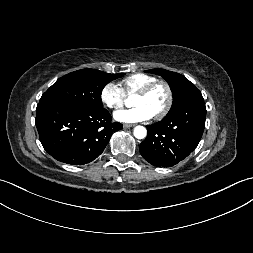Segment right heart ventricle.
<instances>
[{
	"label": "right heart ventricle",
	"instance_id": "right-heart-ventricle-1",
	"mask_svg": "<svg viewBox=\"0 0 253 253\" xmlns=\"http://www.w3.org/2000/svg\"><path fill=\"white\" fill-rule=\"evenodd\" d=\"M155 80L156 78L154 76L143 73H136L125 77L121 81V86L126 94H134Z\"/></svg>",
	"mask_w": 253,
	"mask_h": 253
}]
</instances>
